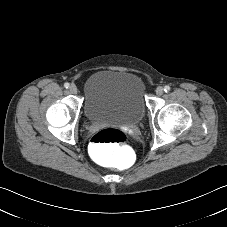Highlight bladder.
<instances>
[{"mask_svg":"<svg viewBox=\"0 0 227 227\" xmlns=\"http://www.w3.org/2000/svg\"><path fill=\"white\" fill-rule=\"evenodd\" d=\"M83 94L90 122L135 125L144 117V83L136 73L96 71L85 80Z\"/></svg>","mask_w":227,"mask_h":227,"instance_id":"bladder-1","label":"bladder"}]
</instances>
